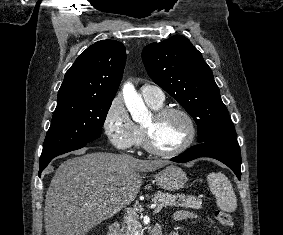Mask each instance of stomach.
Returning a JSON list of instances; mask_svg holds the SVG:
<instances>
[{"label":"stomach","instance_id":"1","mask_svg":"<svg viewBox=\"0 0 283 235\" xmlns=\"http://www.w3.org/2000/svg\"><path fill=\"white\" fill-rule=\"evenodd\" d=\"M155 180L166 191H178L184 188L187 176L181 168L170 165L158 172Z\"/></svg>","mask_w":283,"mask_h":235}]
</instances>
